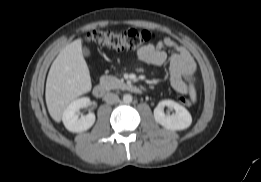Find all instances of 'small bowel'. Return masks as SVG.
Listing matches in <instances>:
<instances>
[{"label": "small bowel", "mask_w": 261, "mask_h": 182, "mask_svg": "<svg viewBox=\"0 0 261 182\" xmlns=\"http://www.w3.org/2000/svg\"><path fill=\"white\" fill-rule=\"evenodd\" d=\"M165 48L172 50L167 54ZM138 59L146 64L160 66L168 63L170 83L181 94L194 91L195 62L190 53L170 37L151 42L136 53Z\"/></svg>", "instance_id": "obj_1"}]
</instances>
